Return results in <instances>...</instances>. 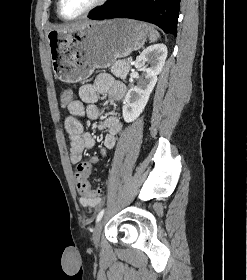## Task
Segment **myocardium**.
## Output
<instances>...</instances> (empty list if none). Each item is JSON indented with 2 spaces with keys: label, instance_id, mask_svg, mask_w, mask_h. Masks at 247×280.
Wrapping results in <instances>:
<instances>
[{
  "label": "myocardium",
  "instance_id": "obj_1",
  "mask_svg": "<svg viewBox=\"0 0 247 280\" xmlns=\"http://www.w3.org/2000/svg\"><path fill=\"white\" fill-rule=\"evenodd\" d=\"M107 1L108 0H96L90 7H88L86 10H84L79 15L74 16V17H66L62 14V11H61L62 0H57V14L62 20H65V21H73V20L81 19V18L87 16L88 14H90L91 12H93L94 10L98 9L102 5H104Z\"/></svg>",
  "mask_w": 247,
  "mask_h": 280
}]
</instances>
